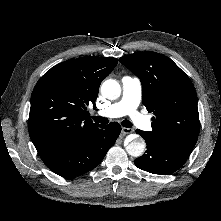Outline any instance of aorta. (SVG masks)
<instances>
[{
    "mask_svg": "<svg viewBox=\"0 0 221 221\" xmlns=\"http://www.w3.org/2000/svg\"><path fill=\"white\" fill-rule=\"evenodd\" d=\"M102 95L110 100L117 99L121 94V87L116 80L108 79L101 85ZM145 150V142L143 139H134L127 146L126 151L133 157H140Z\"/></svg>",
    "mask_w": 221,
    "mask_h": 221,
    "instance_id": "1",
    "label": "aorta"
}]
</instances>
